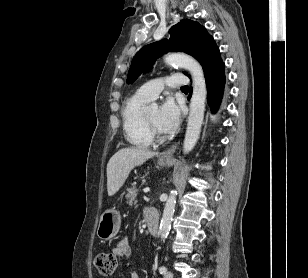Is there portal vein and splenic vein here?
I'll list each match as a JSON object with an SVG mask.
<instances>
[{"instance_id": "obj_1", "label": "portal vein and splenic vein", "mask_w": 308, "mask_h": 278, "mask_svg": "<svg viewBox=\"0 0 308 278\" xmlns=\"http://www.w3.org/2000/svg\"><path fill=\"white\" fill-rule=\"evenodd\" d=\"M150 191V188L149 187H146L145 189H144V193H148Z\"/></svg>"}]
</instances>
